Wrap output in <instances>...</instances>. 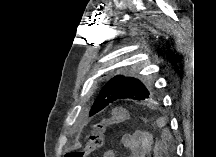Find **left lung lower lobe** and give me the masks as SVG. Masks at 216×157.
Segmentation results:
<instances>
[{"label": "left lung lower lobe", "instance_id": "1", "mask_svg": "<svg viewBox=\"0 0 216 157\" xmlns=\"http://www.w3.org/2000/svg\"><path fill=\"white\" fill-rule=\"evenodd\" d=\"M93 107H94L95 110L92 112V114H90V116H92V115L98 113L99 111H101L103 108L106 107V104H103V103L102 104H96V103H94L92 108Z\"/></svg>", "mask_w": 216, "mask_h": 157}]
</instances>
